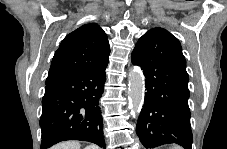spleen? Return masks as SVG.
Returning a JSON list of instances; mask_svg holds the SVG:
<instances>
[{"mask_svg": "<svg viewBox=\"0 0 227 149\" xmlns=\"http://www.w3.org/2000/svg\"><path fill=\"white\" fill-rule=\"evenodd\" d=\"M172 149H181L179 146H174Z\"/></svg>", "mask_w": 227, "mask_h": 149, "instance_id": "1", "label": "spleen"}]
</instances>
